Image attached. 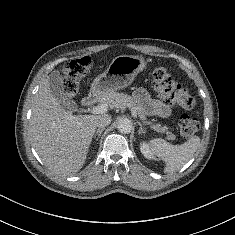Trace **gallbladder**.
I'll return each instance as SVG.
<instances>
[{
	"label": "gallbladder",
	"mask_w": 235,
	"mask_h": 235,
	"mask_svg": "<svg viewBox=\"0 0 235 235\" xmlns=\"http://www.w3.org/2000/svg\"><path fill=\"white\" fill-rule=\"evenodd\" d=\"M50 82V88L55 96V98L63 105L69 108L70 111L75 112L78 110V106L74 102H70L66 100L63 95L62 91H60V85H61V78L58 72H53L49 77Z\"/></svg>",
	"instance_id": "bac80fb5"
}]
</instances>
